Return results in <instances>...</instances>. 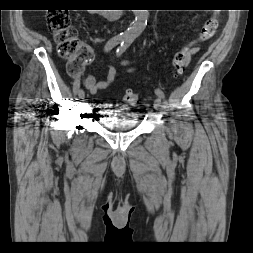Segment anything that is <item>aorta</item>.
I'll list each match as a JSON object with an SVG mask.
<instances>
[{"label": "aorta", "instance_id": "obj_1", "mask_svg": "<svg viewBox=\"0 0 253 253\" xmlns=\"http://www.w3.org/2000/svg\"><path fill=\"white\" fill-rule=\"evenodd\" d=\"M134 15L135 20L130 23L128 29L123 34V36L129 40H134L144 31L147 25L149 12L148 10H134Z\"/></svg>", "mask_w": 253, "mask_h": 253}]
</instances>
